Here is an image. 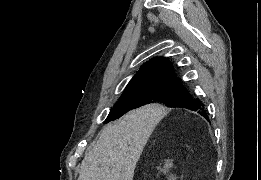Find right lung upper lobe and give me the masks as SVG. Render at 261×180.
Here are the masks:
<instances>
[{
  "instance_id": "obj_1",
  "label": "right lung upper lobe",
  "mask_w": 261,
  "mask_h": 180,
  "mask_svg": "<svg viewBox=\"0 0 261 180\" xmlns=\"http://www.w3.org/2000/svg\"><path fill=\"white\" fill-rule=\"evenodd\" d=\"M171 81H179V78L175 76L171 62L161 57L145 63L126 88Z\"/></svg>"
}]
</instances>
